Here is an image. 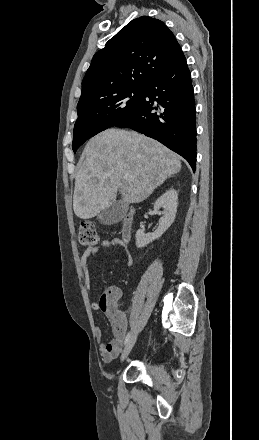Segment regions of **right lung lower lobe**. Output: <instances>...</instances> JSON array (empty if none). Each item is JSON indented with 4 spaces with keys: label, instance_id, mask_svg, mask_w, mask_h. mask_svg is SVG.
Wrapping results in <instances>:
<instances>
[{
    "label": "right lung lower lobe",
    "instance_id": "1",
    "mask_svg": "<svg viewBox=\"0 0 259 440\" xmlns=\"http://www.w3.org/2000/svg\"><path fill=\"white\" fill-rule=\"evenodd\" d=\"M115 126L158 140L184 157L195 171V101L184 54L153 79L139 107Z\"/></svg>",
    "mask_w": 259,
    "mask_h": 440
}]
</instances>
